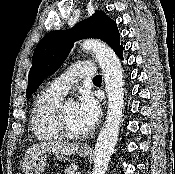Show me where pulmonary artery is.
I'll return each mask as SVG.
<instances>
[{
  "label": "pulmonary artery",
  "instance_id": "e3ab8cb5",
  "mask_svg": "<svg viewBox=\"0 0 175 174\" xmlns=\"http://www.w3.org/2000/svg\"><path fill=\"white\" fill-rule=\"evenodd\" d=\"M94 76H96V67L92 62H78L74 64L68 72L54 79L50 83L49 89L61 95H65L79 78Z\"/></svg>",
  "mask_w": 175,
  "mask_h": 174
}]
</instances>
